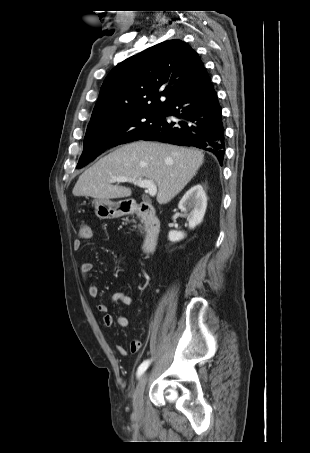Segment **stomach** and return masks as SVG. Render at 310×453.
Here are the masks:
<instances>
[{"instance_id":"obj_1","label":"stomach","mask_w":310,"mask_h":453,"mask_svg":"<svg viewBox=\"0 0 310 453\" xmlns=\"http://www.w3.org/2000/svg\"><path fill=\"white\" fill-rule=\"evenodd\" d=\"M93 203L95 214L99 219H114L127 214L123 201L113 202L107 199H95Z\"/></svg>"}]
</instances>
